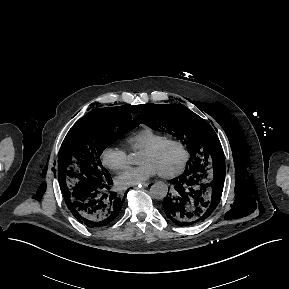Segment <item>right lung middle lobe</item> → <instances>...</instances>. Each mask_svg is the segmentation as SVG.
<instances>
[{"label":"right lung middle lobe","instance_id":"right-lung-middle-lobe-1","mask_svg":"<svg viewBox=\"0 0 289 289\" xmlns=\"http://www.w3.org/2000/svg\"><path fill=\"white\" fill-rule=\"evenodd\" d=\"M137 107L123 105L95 109L81 118L66 137L59 163L58 180L63 196L96 187L110 178L100 162L103 150L136 127Z\"/></svg>","mask_w":289,"mask_h":289}]
</instances>
